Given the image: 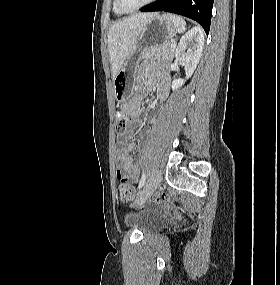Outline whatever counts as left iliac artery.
I'll return each mask as SVG.
<instances>
[{
	"instance_id": "1",
	"label": "left iliac artery",
	"mask_w": 280,
	"mask_h": 285,
	"mask_svg": "<svg viewBox=\"0 0 280 285\" xmlns=\"http://www.w3.org/2000/svg\"><path fill=\"white\" fill-rule=\"evenodd\" d=\"M145 181H146V173H143L141 176L140 182H139V186H138L139 189H141L144 186Z\"/></svg>"
}]
</instances>
